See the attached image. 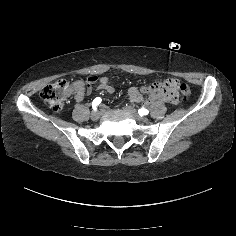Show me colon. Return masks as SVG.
<instances>
[{
    "mask_svg": "<svg viewBox=\"0 0 236 236\" xmlns=\"http://www.w3.org/2000/svg\"><path fill=\"white\" fill-rule=\"evenodd\" d=\"M175 85L184 99L190 96L191 90L187 84L175 81ZM76 90L77 87L74 83L61 79L44 87L41 90L40 96L52 111L60 112L63 110L68 96Z\"/></svg>",
    "mask_w": 236,
    "mask_h": 236,
    "instance_id": "colon-1",
    "label": "colon"
}]
</instances>
